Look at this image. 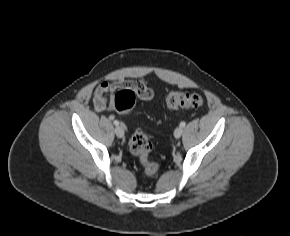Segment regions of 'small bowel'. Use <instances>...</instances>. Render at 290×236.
<instances>
[{
    "instance_id": "small-bowel-1",
    "label": "small bowel",
    "mask_w": 290,
    "mask_h": 236,
    "mask_svg": "<svg viewBox=\"0 0 290 236\" xmlns=\"http://www.w3.org/2000/svg\"><path fill=\"white\" fill-rule=\"evenodd\" d=\"M122 87H129L136 91L137 96L144 100L149 101L153 98V92L147 86L144 79L135 80H121L117 82H102L100 83L93 93L94 108L98 112H103L109 108L110 100L117 89Z\"/></svg>"
}]
</instances>
